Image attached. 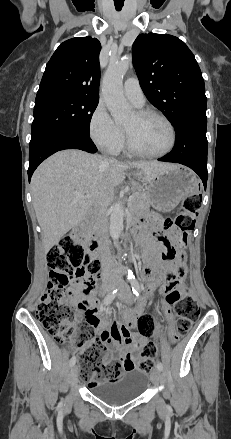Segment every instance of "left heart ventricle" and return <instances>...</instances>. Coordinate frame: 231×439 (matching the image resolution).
<instances>
[{
    "mask_svg": "<svg viewBox=\"0 0 231 439\" xmlns=\"http://www.w3.org/2000/svg\"><path fill=\"white\" fill-rule=\"evenodd\" d=\"M134 146L145 153H157L170 143V131L158 117H139L134 113L124 124Z\"/></svg>",
    "mask_w": 231,
    "mask_h": 439,
    "instance_id": "1",
    "label": "left heart ventricle"
}]
</instances>
